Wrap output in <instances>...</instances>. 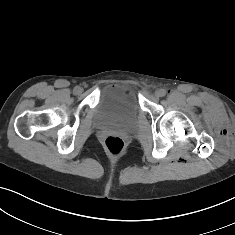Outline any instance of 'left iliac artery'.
Listing matches in <instances>:
<instances>
[{
	"label": "left iliac artery",
	"mask_w": 235,
	"mask_h": 235,
	"mask_svg": "<svg viewBox=\"0 0 235 235\" xmlns=\"http://www.w3.org/2000/svg\"><path fill=\"white\" fill-rule=\"evenodd\" d=\"M161 96H165L166 95V91L164 89H161Z\"/></svg>",
	"instance_id": "obj_1"
}]
</instances>
